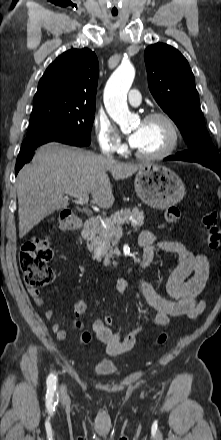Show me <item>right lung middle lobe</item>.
Wrapping results in <instances>:
<instances>
[{
  "label": "right lung middle lobe",
  "mask_w": 221,
  "mask_h": 440,
  "mask_svg": "<svg viewBox=\"0 0 221 440\" xmlns=\"http://www.w3.org/2000/svg\"><path fill=\"white\" fill-rule=\"evenodd\" d=\"M95 105L60 101L34 103L27 138L39 135L69 137L89 145Z\"/></svg>",
  "instance_id": "1"
}]
</instances>
